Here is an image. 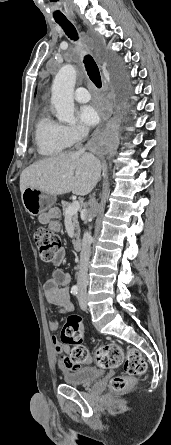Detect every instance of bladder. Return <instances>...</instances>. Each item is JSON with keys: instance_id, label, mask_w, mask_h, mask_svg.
Returning a JSON list of instances; mask_svg holds the SVG:
<instances>
[{"instance_id": "bladder-1", "label": "bladder", "mask_w": 171, "mask_h": 445, "mask_svg": "<svg viewBox=\"0 0 171 445\" xmlns=\"http://www.w3.org/2000/svg\"><path fill=\"white\" fill-rule=\"evenodd\" d=\"M103 374L102 369L87 366L64 372L63 380L69 385H89L99 380Z\"/></svg>"}]
</instances>
